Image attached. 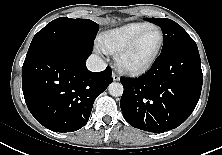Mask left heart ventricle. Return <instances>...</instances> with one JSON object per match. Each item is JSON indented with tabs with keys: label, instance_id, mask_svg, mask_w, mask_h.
Instances as JSON below:
<instances>
[{
	"label": "left heart ventricle",
	"instance_id": "b2bd125f",
	"mask_svg": "<svg viewBox=\"0 0 222 155\" xmlns=\"http://www.w3.org/2000/svg\"><path fill=\"white\" fill-rule=\"evenodd\" d=\"M160 42L157 30H150L125 57L128 66L138 67L147 63L155 53Z\"/></svg>",
	"mask_w": 222,
	"mask_h": 155
}]
</instances>
